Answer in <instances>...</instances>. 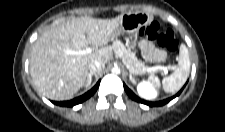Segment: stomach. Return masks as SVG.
Listing matches in <instances>:
<instances>
[{"label":"stomach","mask_w":225,"mask_h":132,"mask_svg":"<svg viewBox=\"0 0 225 132\" xmlns=\"http://www.w3.org/2000/svg\"><path fill=\"white\" fill-rule=\"evenodd\" d=\"M149 22V15L144 13H128L123 15L119 26L115 29L114 33L112 34V39H116L121 34H129L136 36L138 30L148 24ZM136 45V40L132 42V46Z\"/></svg>","instance_id":"1"}]
</instances>
